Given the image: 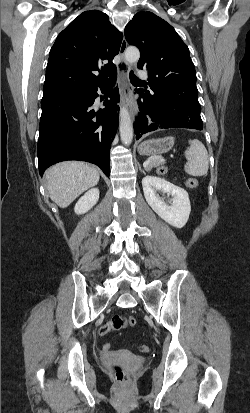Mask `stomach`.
Here are the masks:
<instances>
[{
    "mask_svg": "<svg viewBox=\"0 0 250 413\" xmlns=\"http://www.w3.org/2000/svg\"><path fill=\"white\" fill-rule=\"evenodd\" d=\"M174 145L173 137H165L156 140H147L140 144L138 150L141 155L158 156L168 152Z\"/></svg>",
    "mask_w": 250,
    "mask_h": 413,
    "instance_id": "stomach-1",
    "label": "stomach"
}]
</instances>
